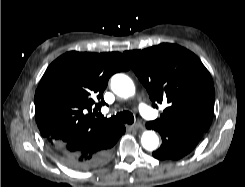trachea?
Returning a JSON list of instances; mask_svg holds the SVG:
<instances>
[{
    "mask_svg": "<svg viewBox=\"0 0 245 187\" xmlns=\"http://www.w3.org/2000/svg\"><path fill=\"white\" fill-rule=\"evenodd\" d=\"M99 118L107 120L109 123L112 124H133L134 123V116L129 111H123L117 113L115 116H111L110 118H104L102 115H98Z\"/></svg>",
    "mask_w": 245,
    "mask_h": 187,
    "instance_id": "1",
    "label": "trachea"
}]
</instances>
